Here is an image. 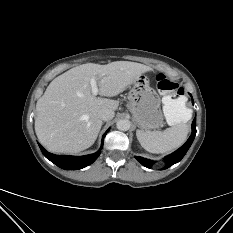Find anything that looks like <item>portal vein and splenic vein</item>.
I'll use <instances>...</instances> for the list:
<instances>
[{"mask_svg": "<svg viewBox=\"0 0 233 233\" xmlns=\"http://www.w3.org/2000/svg\"><path fill=\"white\" fill-rule=\"evenodd\" d=\"M90 86H91V89H92V94L94 96H96L98 94L99 90H98L97 82H96L95 78H91V80H90Z\"/></svg>", "mask_w": 233, "mask_h": 233, "instance_id": "1", "label": "portal vein and splenic vein"}]
</instances>
